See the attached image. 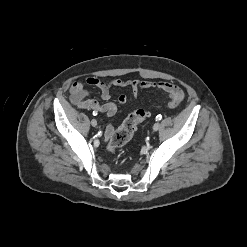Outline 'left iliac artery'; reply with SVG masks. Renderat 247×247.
<instances>
[{
    "mask_svg": "<svg viewBox=\"0 0 247 247\" xmlns=\"http://www.w3.org/2000/svg\"><path fill=\"white\" fill-rule=\"evenodd\" d=\"M162 119V116L161 115H157L156 116V121H160Z\"/></svg>",
    "mask_w": 247,
    "mask_h": 247,
    "instance_id": "obj_1",
    "label": "left iliac artery"
}]
</instances>
